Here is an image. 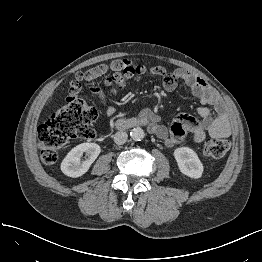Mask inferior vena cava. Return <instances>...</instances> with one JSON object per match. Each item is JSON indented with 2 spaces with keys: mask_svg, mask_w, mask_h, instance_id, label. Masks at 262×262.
Masks as SVG:
<instances>
[{
  "mask_svg": "<svg viewBox=\"0 0 262 262\" xmlns=\"http://www.w3.org/2000/svg\"><path fill=\"white\" fill-rule=\"evenodd\" d=\"M128 135L126 132L119 131L114 135V142L118 145L124 144L127 141Z\"/></svg>",
  "mask_w": 262,
  "mask_h": 262,
  "instance_id": "inferior-vena-cava-1",
  "label": "inferior vena cava"
}]
</instances>
